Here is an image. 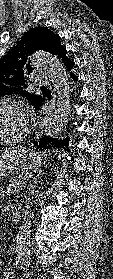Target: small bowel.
<instances>
[{
    "instance_id": "obj_1",
    "label": "small bowel",
    "mask_w": 113,
    "mask_h": 279,
    "mask_svg": "<svg viewBox=\"0 0 113 279\" xmlns=\"http://www.w3.org/2000/svg\"><path fill=\"white\" fill-rule=\"evenodd\" d=\"M2 194H3V191H2V189H0L1 197H2ZM3 274H4V279H14L15 278L14 272L10 268L5 269Z\"/></svg>"
}]
</instances>
